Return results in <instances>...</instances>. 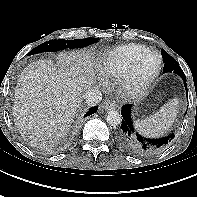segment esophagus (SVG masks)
<instances>
[{"label": "esophagus", "instance_id": "esophagus-1", "mask_svg": "<svg viewBox=\"0 0 197 197\" xmlns=\"http://www.w3.org/2000/svg\"><path fill=\"white\" fill-rule=\"evenodd\" d=\"M102 107H103L104 110H111V109H115L117 107V105L114 101L106 100L103 103Z\"/></svg>", "mask_w": 197, "mask_h": 197}]
</instances>
